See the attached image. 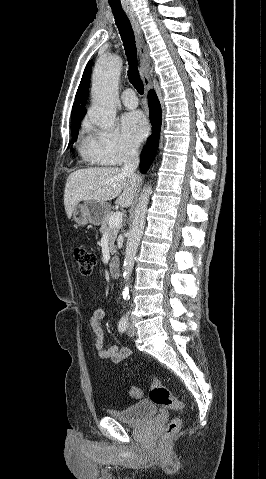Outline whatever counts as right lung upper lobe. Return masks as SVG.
<instances>
[{"label":"right lung upper lobe","mask_w":266,"mask_h":479,"mask_svg":"<svg viewBox=\"0 0 266 479\" xmlns=\"http://www.w3.org/2000/svg\"><path fill=\"white\" fill-rule=\"evenodd\" d=\"M90 75H91V61H89L88 64L86 65L80 85L78 87V90L75 96V102L73 104L72 113H71L72 122L82 120L86 113V108L84 106L86 105V101L88 98Z\"/></svg>","instance_id":"obj_1"}]
</instances>
